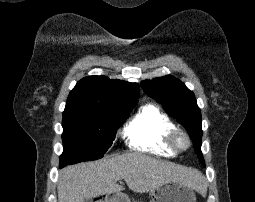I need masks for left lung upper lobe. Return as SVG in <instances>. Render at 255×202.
<instances>
[{
  "label": "left lung upper lobe",
  "instance_id": "5c2ea615",
  "mask_svg": "<svg viewBox=\"0 0 255 202\" xmlns=\"http://www.w3.org/2000/svg\"><path fill=\"white\" fill-rule=\"evenodd\" d=\"M141 87L150 97L161 103L168 114L184 125L193 140L198 157L204 165V158L200 150L202 139L201 112L193 92L171 75L142 81Z\"/></svg>",
  "mask_w": 255,
  "mask_h": 202
}]
</instances>
